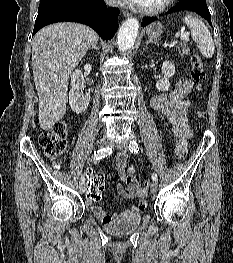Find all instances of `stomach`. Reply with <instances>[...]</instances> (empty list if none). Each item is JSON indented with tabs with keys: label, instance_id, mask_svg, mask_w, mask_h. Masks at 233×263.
<instances>
[{
	"label": "stomach",
	"instance_id": "0dacf381",
	"mask_svg": "<svg viewBox=\"0 0 233 263\" xmlns=\"http://www.w3.org/2000/svg\"><path fill=\"white\" fill-rule=\"evenodd\" d=\"M162 32L163 27L159 22H154L146 28V34L150 39H157L161 36Z\"/></svg>",
	"mask_w": 233,
	"mask_h": 263
}]
</instances>
